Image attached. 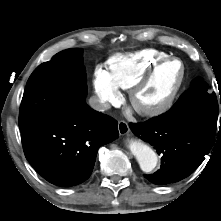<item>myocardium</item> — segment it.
<instances>
[{
	"mask_svg": "<svg viewBox=\"0 0 221 221\" xmlns=\"http://www.w3.org/2000/svg\"><path fill=\"white\" fill-rule=\"evenodd\" d=\"M179 62L182 67L180 80L171 93V95L161 104L153 107H143L137 104L136 97L141 89H143L155 75V73L164 65L171 62ZM187 79V68L183 60L177 57H166L154 63L128 90L129 101L135 111L147 118L159 117L168 112L177 101Z\"/></svg>",
	"mask_w": 221,
	"mask_h": 221,
	"instance_id": "1",
	"label": "myocardium"
}]
</instances>
